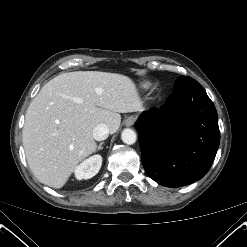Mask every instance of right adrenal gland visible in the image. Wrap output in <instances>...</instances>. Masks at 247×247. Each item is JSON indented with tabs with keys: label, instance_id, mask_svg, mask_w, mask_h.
Returning a JSON list of instances; mask_svg holds the SVG:
<instances>
[{
	"label": "right adrenal gland",
	"instance_id": "1",
	"mask_svg": "<svg viewBox=\"0 0 247 247\" xmlns=\"http://www.w3.org/2000/svg\"><path fill=\"white\" fill-rule=\"evenodd\" d=\"M103 144H104V142H101V143L98 145V147H97L96 150H101V149H103V147H102Z\"/></svg>",
	"mask_w": 247,
	"mask_h": 247
}]
</instances>
